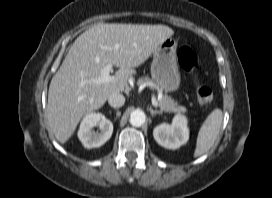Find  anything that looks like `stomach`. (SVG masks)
<instances>
[{"instance_id": "0dacf381", "label": "stomach", "mask_w": 272, "mask_h": 198, "mask_svg": "<svg viewBox=\"0 0 272 198\" xmlns=\"http://www.w3.org/2000/svg\"><path fill=\"white\" fill-rule=\"evenodd\" d=\"M177 41L166 39L154 52L151 76L166 92L175 91L180 85V72L176 59Z\"/></svg>"}]
</instances>
